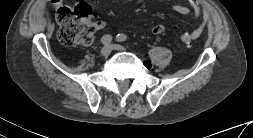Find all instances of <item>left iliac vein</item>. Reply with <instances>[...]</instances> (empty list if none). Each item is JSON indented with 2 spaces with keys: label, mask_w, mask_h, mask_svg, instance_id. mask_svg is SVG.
Returning <instances> with one entry per match:
<instances>
[{
  "label": "left iliac vein",
  "mask_w": 253,
  "mask_h": 138,
  "mask_svg": "<svg viewBox=\"0 0 253 138\" xmlns=\"http://www.w3.org/2000/svg\"><path fill=\"white\" fill-rule=\"evenodd\" d=\"M111 46H112V49H114V50H119V51H124L125 50V47L122 46V45H119V44H113Z\"/></svg>",
  "instance_id": "4c4485c4"
}]
</instances>
